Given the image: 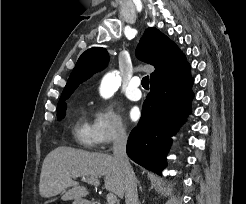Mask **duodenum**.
<instances>
[{"mask_svg":"<svg viewBox=\"0 0 246 204\" xmlns=\"http://www.w3.org/2000/svg\"><path fill=\"white\" fill-rule=\"evenodd\" d=\"M92 204H100L99 202H94V203H92Z\"/></svg>","mask_w":246,"mask_h":204,"instance_id":"410a0bca","label":"duodenum"}]
</instances>
